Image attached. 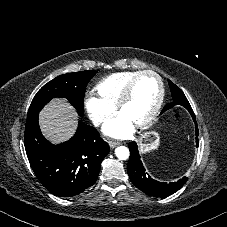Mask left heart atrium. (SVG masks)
Returning <instances> with one entry per match:
<instances>
[{
    "instance_id": "1",
    "label": "left heart atrium",
    "mask_w": 227,
    "mask_h": 227,
    "mask_svg": "<svg viewBox=\"0 0 227 227\" xmlns=\"http://www.w3.org/2000/svg\"><path fill=\"white\" fill-rule=\"evenodd\" d=\"M103 133L112 138H125L133 133V124L120 114L105 123Z\"/></svg>"
}]
</instances>
